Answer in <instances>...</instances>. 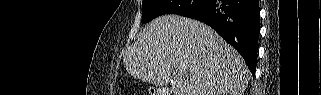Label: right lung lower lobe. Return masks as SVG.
I'll return each instance as SVG.
<instances>
[{
    "mask_svg": "<svg viewBox=\"0 0 321 95\" xmlns=\"http://www.w3.org/2000/svg\"><path fill=\"white\" fill-rule=\"evenodd\" d=\"M258 0H207L190 17L212 27L244 58L254 75L260 32Z\"/></svg>",
    "mask_w": 321,
    "mask_h": 95,
    "instance_id": "obj_1",
    "label": "right lung lower lobe"
}]
</instances>
